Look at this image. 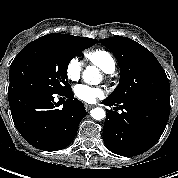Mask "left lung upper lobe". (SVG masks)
<instances>
[{"label":"left lung upper lobe","mask_w":178,"mask_h":178,"mask_svg":"<svg viewBox=\"0 0 178 178\" xmlns=\"http://www.w3.org/2000/svg\"><path fill=\"white\" fill-rule=\"evenodd\" d=\"M99 42L114 54L120 67L119 84L107 99L116 103L139 99L170 109L169 80L148 49L127 37Z\"/></svg>","instance_id":"obj_1"}]
</instances>
